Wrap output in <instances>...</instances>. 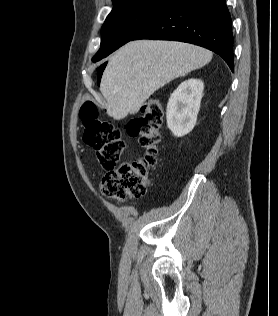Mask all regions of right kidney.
<instances>
[{"label": "right kidney", "instance_id": "1", "mask_svg": "<svg viewBox=\"0 0 278 316\" xmlns=\"http://www.w3.org/2000/svg\"><path fill=\"white\" fill-rule=\"evenodd\" d=\"M204 83L199 79L182 82L167 104V126L176 137H182L194 128L203 95Z\"/></svg>", "mask_w": 278, "mask_h": 316}]
</instances>
